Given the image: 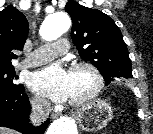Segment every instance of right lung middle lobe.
I'll return each instance as SVG.
<instances>
[{"instance_id": "obj_1", "label": "right lung middle lobe", "mask_w": 153, "mask_h": 134, "mask_svg": "<svg viewBox=\"0 0 153 134\" xmlns=\"http://www.w3.org/2000/svg\"><path fill=\"white\" fill-rule=\"evenodd\" d=\"M15 79H18V76L15 74L14 66L0 68V88L8 90L23 88L22 84L14 82Z\"/></svg>"}]
</instances>
